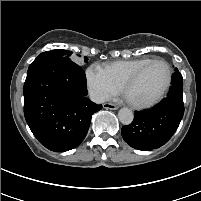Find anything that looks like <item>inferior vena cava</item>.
I'll use <instances>...</instances> for the list:
<instances>
[{"label":"inferior vena cava","mask_w":201,"mask_h":201,"mask_svg":"<svg viewBox=\"0 0 201 201\" xmlns=\"http://www.w3.org/2000/svg\"><path fill=\"white\" fill-rule=\"evenodd\" d=\"M108 96L101 92L91 91L90 92V100L94 103L100 104L107 101Z\"/></svg>","instance_id":"602c4592"}]
</instances>
